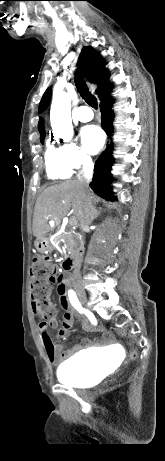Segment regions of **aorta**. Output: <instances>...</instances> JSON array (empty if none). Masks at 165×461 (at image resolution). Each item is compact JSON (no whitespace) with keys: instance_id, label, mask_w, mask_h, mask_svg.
I'll return each mask as SVG.
<instances>
[{"instance_id":"762f6f07","label":"aorta","mask_w":165,"mask_h":461,"mask_svg":"<svg viewBox=\"0 0 165 461\" xmlns=\"http://www.w3.org/2000/svg\"><path fill=\"white\" fill-rule=\"evenodd\" d=\"M50 121L53 132L66 141L73 136L71 121V100L67 93L54 91L50 110Z\"/></svg>"}]
</instances>
